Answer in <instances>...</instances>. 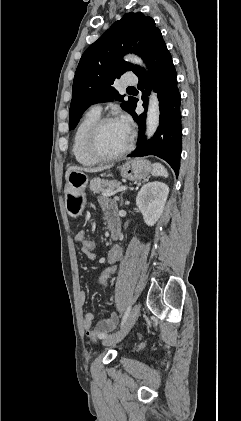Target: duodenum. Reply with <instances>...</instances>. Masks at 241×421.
Instances as JSON below:
<instances>
[{"instance_id":"1","label":"duodenum","mask_w":241,"mask_h":421,"mask_svg":"<svg viewBox=\"0 0 241 421\" xmlns=\"http://www.w3.org/2000/svg\"><path fill=\"white\" fill-rule=\"evenodd\" d=\"M109 227L114 238L120 234V222L117 216H111L108 220Z\"/></svg>"}]
</instances>
